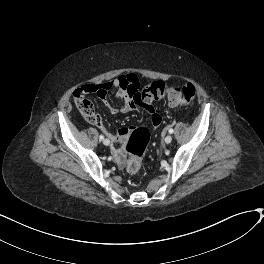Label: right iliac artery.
<instances>
[{
    "label": "right iliac artery",
    "instance_id": "obj_1",
    "mask_svg": "<svg viewBox=\"0 0 264 264\" xmlns=\"http://www.w3.org/2000/svg\"><path fill=\"white\" fill-rule=\"evenodd\" d=\"M99 139H100V140H103V139H104V136H103V135H100V136H99Z\"/></svg>",
    "mask_w": 264,
    "mask_h": 264
}]
</instances>
